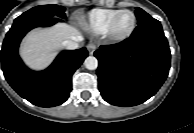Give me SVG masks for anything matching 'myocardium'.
Here are the masks:
<instances>
[{
  "instance_id": "f54148a6",
  "label": "myocardium",
  "mask_w": 194,
  "mask_h": 133,
  "mask_svg": "<svg viewBox=\"0 0 194 133\" xmlns=\"http://www.w3.org/2000/svg\"><path fill=\"white\" fill-rule=\"evenodd\" d=\"M123 13H129V14L132 15L133 24H132L131 28L126 33L118 34V33L115 32V24H116V21H117L118 17ZM136 25H137V18H136L135 13L133 11L129 10V9H121L118 12H116L112 16V18L110 19L105 34L110 39H112L114 41H117V42H121V41H124V40L128 39L133 34V32L136 28Z\"/></svg>"
}]
</instances>
